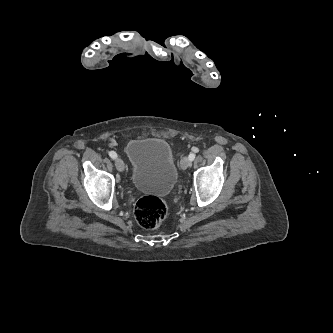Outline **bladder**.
Listing matches in <instances>:
<instances>
[{
	"instance_id": "bladder-1",
	"label": "bladder",
	"mask_w": 333,
	"mask_h": 333,
	"mask_svg": "<svg viewBox=\"0 0 333 333\" xmlns=\"http://www.w3.org/2000/svg\"><path fill=\"white\" fill-rule=\"evenodd\" d=\"M131 182L143 192L166 194L177 183L178 170L172 149L161 138H137L126 145Z\"/></svg>"
}]
</instances>
